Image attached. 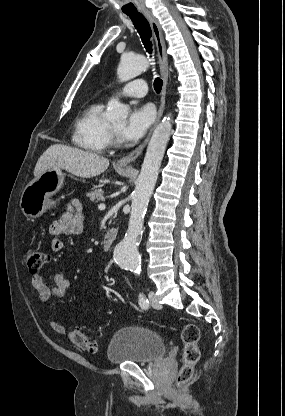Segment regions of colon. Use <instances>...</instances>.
<instances>
[{
    "label": "colon",
    "instance_id": "colon-1",
    "mask_svg": "<svg viewBox=\"0 0 285 416\" xmlns=\"http://www.w3.org/2000/svg\"><path fill=\"white\" fill-rule=\"evenodd\" d=\"M24 261L30 274L37 275L47 261V255L37 249H27L24 252ZM67 337L70 342L79 350L84 352H95L97 344L94 340L85 335L78 328H71L67 331ZM181 337L184 344V361L185 365L181 369L176 387L178 390V398L182 401L186 400L184 387L193 377V365L198 361L200 352L198 342L200 339V330L197 325L188 323L181 329Z\"/></svg>",
    "mask_w": 285,
    "mask_h": 416
}]
</instances>
